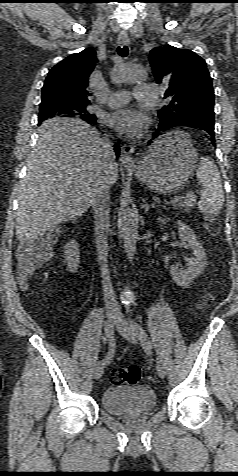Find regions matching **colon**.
<instances>
[{
	"label": "colon",
	"instance_id": "colon-1",
	"mask_svg": "<svg viewBox=\"0 0 238 476\" xmlns=\"http://www.w3.org/2000/svg\"><path fill=\"white\" fill-rule=\"evenodd\" d=\"M207 229L210 234L215 235L218 232L217 222L213 219L209 220ZM57 237L58 231L52 230L45 239L31 240L19 246L17 274L23 288L26 287L28 280L35 271L42 266L50 253V245ZM209 301L210 296H205L203 302L208 303ZM140 376V368L130 365L112 370L110 380L113 384L133 385L139 381Z\"/></svg>",
	"mask_w": 238,
	"mask_h": 476
}]
</instances>
